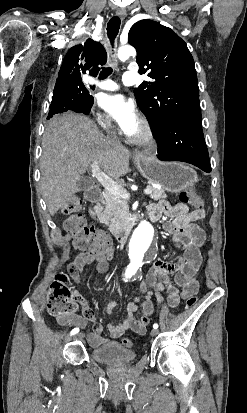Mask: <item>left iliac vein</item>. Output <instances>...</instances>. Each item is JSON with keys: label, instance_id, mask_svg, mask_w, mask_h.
Instances as JSON below:
<instances>
[{"label": "left iliac vein", "instance_id": "4c4485c4", "mask_svg": "<svg viewBox=\"0 0 247 413\" xmlns=\"http://www.w3.org/2000/svg\"><path fill=\"white\" fill-rule=\"evenodd\" d=\"M158 333H159V331H158L157 329H152V330L150 331V335H151V336H156Z\"/></svg>", "mask_w": 247, "mask_h": 413}]
</instances>
